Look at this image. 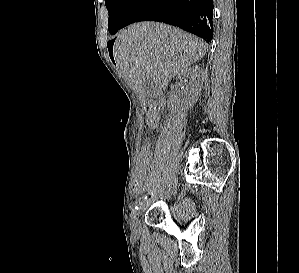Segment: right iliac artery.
Masks as SVG:
<instances>
[{"mask_svg": "<svg viewBox=\"0 0 299 273\" xmlns=\"http://www.w3.org/2000/svg\"><path fill=\"white\" fill-rule=\"evenodd\" d=\"M144 199L145 197H140L135 201V209H138V207L142 205Z\"/></svg>", "mask_w": 299, "mask_h": 273, "instance_id": "1", "label": "right iliac artery"}]
</instances>
